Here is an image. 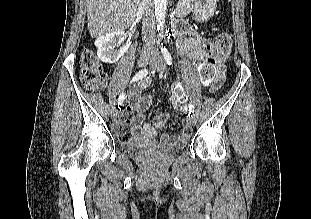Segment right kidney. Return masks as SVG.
I'll use <instances>...</instances> for the list:
<instances>
[{"label": "right kidney", "instance_id": "right-kidney-1", "mask_svg": "<svg viewBox=\"0 0 311 219\" xmlns=\"http://www.w3.org/2000/svg\"><path fill=\"white\" fill-rule=\"evenodd\" d=\"M125 36L123 31H115L98 37L95 41V46L98 49V58L102 62L109 64L117 62L129 48V44H127L120 50L115 49L116 45L119 44Z\"/></svg>", "mask_w": 311, "mask_h": 219}]
</instances>
